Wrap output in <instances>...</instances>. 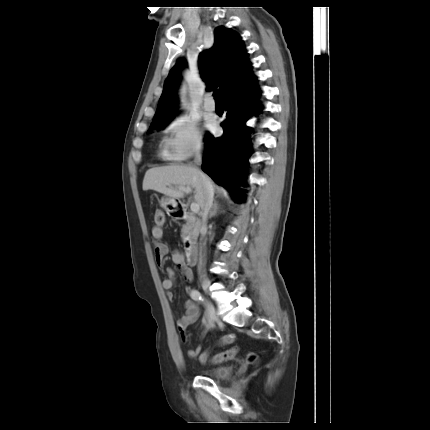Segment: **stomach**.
Wrapping results in <instances>:
<instances>
[{
    "instance_id": "obj_1",
    "label": "stomach",
    "mask_w": 430,
    "mask_h": 430,
    "mask_svg": "<svg viewBox=\"0 0 430 430\" xmlns=\"http://www.w3.org/2000/svg\"><path fill=\"white\" fill-rule=\"evenodd\" d=\"M162 207H163L166 211L171 212V211H172V209L174 208V202H173V199H171V198H166V199H164V200H163V202H162Z\"/></svg>"
}]
</instances>
